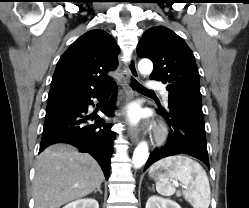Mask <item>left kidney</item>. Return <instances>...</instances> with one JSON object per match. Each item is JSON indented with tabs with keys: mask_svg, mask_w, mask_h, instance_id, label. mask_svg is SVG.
Here are the masks:
<instances>
[{
	"mask_svg": "<svg viewBox=\"0 0 249 208\" xmlns=\"http://www.w3.org/2000/svg\"><path fill=\"white\" fill-rule=\"evenodd\" d=\"M145 208H181V206L170 199H164L158 196H151Z\"/></svg>",
	"mask_w": 249,
	"mask_h": 208,
	"instance_id": "5707ae66",
	"label": "left kidney"
}]
</instances>
